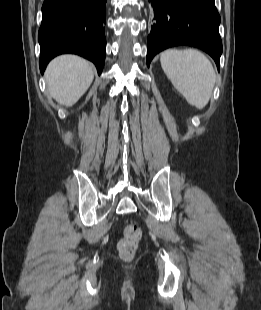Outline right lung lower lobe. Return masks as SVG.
Returning <instances> with one entry per match:
<instances>
[{
	"instance_id": "right-lung-lower-lobe-1",
	"label": "right lung lower lobe",
	"mask_w": 261,
	"mask_h": 310,
	"mask_svg": "<svg viewBox=\"0 0 261 310\" xmlns=\"http://www.w3.org/2000/svg\"><path fill=\"white\" fill-rule=\"evenodd\" d=\"M106 1L44 0L38 33L41 73L55 56L74 53L92 61L101 74L106 51Z\"/></svg>"
}]
</instances>
